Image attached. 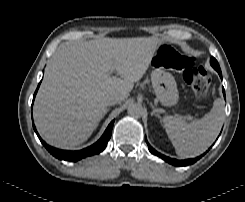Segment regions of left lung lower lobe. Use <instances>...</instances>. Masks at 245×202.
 <instances>
[{
  "label": "left lung lower lobe",
  "instance_id": "left-lung-lower-lobe-1",
  "mask_svg": "<svg viewBox=\"0 0 245 202\" xmlns=\"http://www.w3.org/2000/svg\"><path fill=\"white\" fill-rule=\"evenodd\" d=\"M219 75H220V77L222 78V73L219 74ZM223 94H224V96H225V91H224V89H223ZM145 140H146V138H145ZM146 142H147V140H146ZM147 144H148V142H147ZM148 148H149V151H150L152 154H154V155H156V156L162 158V159L165 160L166 162H168V163H170V164H172V165H175V166H187V165L193 164V163H195L198 159H200V158L203 156V155H201V156H199V157H197V158H194V159H188V160H176V159L169 158V157H167V156H164V155L160 154L159 152H157L156 150H154L149 144H148Z\"/></svg>",
  "mask_w": 245,
  "mask_h": 202
}]
</instances>
